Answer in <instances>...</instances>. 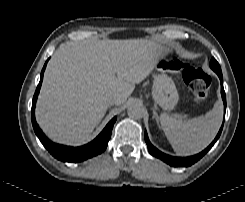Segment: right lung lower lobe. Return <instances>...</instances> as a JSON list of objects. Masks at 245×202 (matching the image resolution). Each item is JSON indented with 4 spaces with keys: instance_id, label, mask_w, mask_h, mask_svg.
Wrapping results in <instances>:
<instances>
[{
    "instance_id": "obj_1",
    "label": "right lung lower lobe",
    "mask_w": 245,
    "mask_h": 202,
    "mask_svg": "<svg viewBox=\"0 0 245 202\" xmlns=\"http://www.w3.org/2000/svg\"><path fill=\"white\" fill-rule=\"evenodd\" d=\"M48 60L46 61L42 71H41V78L40 82L37 86V89L35 91L34 97H33V102H32V110H31V115H32V125L34 128V131L41 141V143L44 145V147L58 160L65 161V162H81L83 160H86L88 158H91L93 156H96L100 153H102L107 145L108 141L111 137V132L113 125L116 121V117H114L108 124L107 126L103 129V131L95 138L92 142L80 146V147H70V146H64L60 144H56L51 142L40 130L38 127L36 120H35V105H36V100L40 91V87L42 84L43 80V74L44 70L46 67Z\"/></svg>"
}]
</instances>
